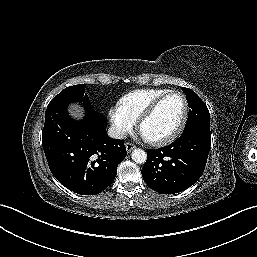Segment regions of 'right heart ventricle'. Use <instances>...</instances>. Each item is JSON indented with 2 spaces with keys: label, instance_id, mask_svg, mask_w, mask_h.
Listing matches in <instances>:
<instances>
[{
  "label": "right heart ventricle",
  "instance_id": "1",
  "mask_svg": "<svg viewBox=\"0 0 257 257\" xmlns=\"http://www.w3.org/2000/svg\"><path fill=\"white\" fill-rule=\"evenodd\" d=\"M170 91L166 88H146L131 91L124 95L119 104L136 121L146 108L158 97Z\"/></svg>",
  "mask_w": 257,
  "mask_h": 257
}]
</instances>
